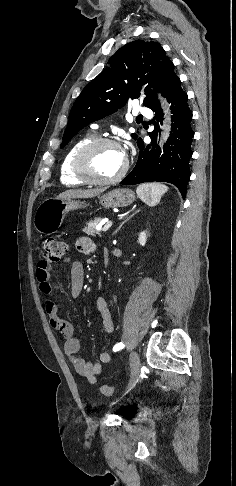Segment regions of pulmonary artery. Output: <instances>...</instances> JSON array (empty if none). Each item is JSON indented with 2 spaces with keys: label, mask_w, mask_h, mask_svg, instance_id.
I'll return each mask as SVG.
<instances>
[{
  "label": "pulmonary artery",
  "mask_w": 236,
  "mask_h": 486,
  "mask_svg": "<svg viewBox=\"0 0 236 486\" xmlns=\"http://www.w3.org/2000/svg\"><path fill=\"white\" fill-rule=\"evenodd\" d=\"M135 113L141 114V115H144V116H147V117H150L152 115L151 110L147 107H144V106L137 107V109L135 110ZM97 127L98 126L96 124L92 125L93 129H97Z\"/></svg>",
  "instance_id": "1"
}]
</instances>
